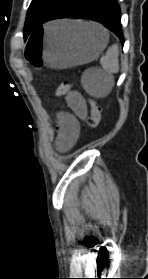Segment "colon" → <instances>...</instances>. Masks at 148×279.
Listing matches in <instances>:
<instances>
[{
  "instance_id": "1",
  "label": "colon",
  "mask_w": 148,
  "mask_h": 279,
  "mask_svg": "<svg viewBox=\"0 0 148 279\" xmlns=\"http://www.w3.org/2000/svg\"><path fill=\"white\" fill-rule=\"evenodd\" d=\"M73 88V85L67 82H63L59 84V86L56 89V94L58 96H62L67 94L71 89ZM89 104V115L86 117V124L91 129H95L98 127L100 121H101V109L93 99H88Z\"/></svg>"
}]
</instances>
